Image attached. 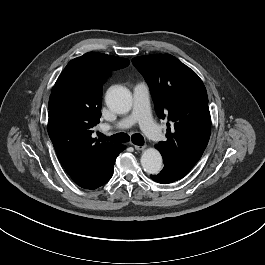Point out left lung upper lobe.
Wrapping results in <instances>:
<instances>
[{
    "label": "left lung upper lobe",
    "mask_w": 265,
    "mask_h": 265,
    "mask_svg": "<svg viewBox=\"0 0 265 265\" xmlns=\"http://www.w3.org/2000/svg\"><path fill=\"white\" fill-rule=\"evenodd\" d=\"M160 118L168 116L167 140L156 148L164 168L183 178L201 158L210 138L211 117L205 86L198 75L170 54L135 57Z\"/></svg>",
    "instance_id": "left-lung-upper-lobe-1"
}]
</instances>
